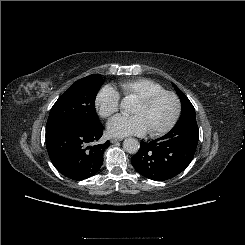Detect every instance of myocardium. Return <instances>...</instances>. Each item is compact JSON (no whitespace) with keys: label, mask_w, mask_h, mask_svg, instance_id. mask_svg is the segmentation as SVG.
I'll return each instance as SVG.
<instances>
[{"label":"myocardium","mask_w":245,"mask_h":245,"mask_svg":"<svg viewBox=\"0 0 245 245\" xmlns=\"http://www.w3.org/2000/svg\"><path fill=\"white\" fill-rule=\"evenodd\" d=\"M163 96H171L172 98H174L176 108H175V112H174L172 119L170 120V122L165 127L161 128L159 130H156V131H149L148 132V134L150 136H153V137L162 136L174 128V126L176 125V123L178 122V120L180 118L181 111H182V104H181L180 97L173 91H166L165 90V91H161V92L154 93L151 95L143 96V97H140L137 99V102H139L140 104L149 105V104L153 103L154 101H156L157 99H159L160 97H163Z\"/></svg>","instance_id":"1"}]
</instances>
